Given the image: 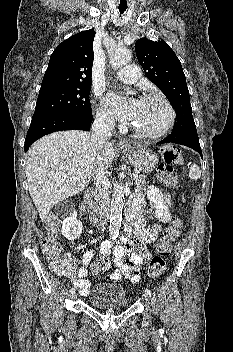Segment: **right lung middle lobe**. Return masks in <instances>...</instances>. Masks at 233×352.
I'll return each instance as SVG.
<instances>
[{
    "label": "right lung middle lobe",
    "mask_w": 233,
    "mask_h": 352,
    "mask_svg": "<svg viewBox=\"0 0 233 352\" xmlns=\"http://www.w3.org/2000/svg\"><path fill=\"white\" fill-rule=\"evenodd\" d=\"M90 88L91 85L41 87L33 118L48 114L91 110Z\"/></svg>",
    "instance_id": "dd1d6c3e"
}]
</instances>
